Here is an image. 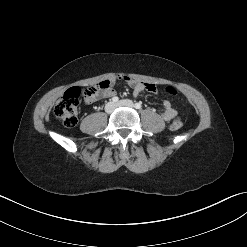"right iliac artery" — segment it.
I'll return each instance as SVG.
<instances>
[{
  "instance_id": "1",
  "label": "right iliac artery",
  "mask_w": 247,
  "mask_h": 247,
  "mask_svg": "<svg viewBox=\"0 0 247 247\" xmlns=\"http://www.w3.org/2000/svg\"><path fill=\"white\" fill-rule=\"evenodd\" d=\"M118 100H119V98H118V97H116V96L112 98V102H113V103L118 102Z\"/></svg>"
}]
</instances>
